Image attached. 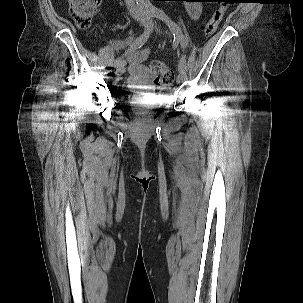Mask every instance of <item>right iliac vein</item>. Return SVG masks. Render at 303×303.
<instances>
[{"label": "right iliac vein", "mask_w": 303, "mask_h": 303, "mask_svg": "<svg viewBox=\"0 0 303 303\" xmlns=\"http://www.w3.org/2000/svg\"><path fill=\"white\" fill-rule=\"evenodd\" d=\"M140 24L143 26V27H146L147 26V22L145 20H142L140 22ZM125 72V65H122V66H119L116 70V76L119 77L121 75H123Z\"/></svg>", "instance_id": "63e3f726"}]
</instances>
